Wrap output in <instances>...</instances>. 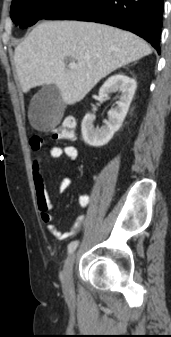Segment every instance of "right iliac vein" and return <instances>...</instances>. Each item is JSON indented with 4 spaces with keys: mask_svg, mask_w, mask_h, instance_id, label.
I'll return each instance as SVG.
<instances>
[{
    "mask_svg": "<svg viewBox=\"0 0 171 337\" xmlns=\"http://www.w3.org/2000/svg\"><path fill=\"white\" fill-rule=\"evenodd\" d=\"M75 261V254H71L65 261L63 269V287L67 297L73 294L72 270Z\"/></svg>",
    "mask_w": 171,
    "mask_h": 337,
    "instance_id": "1",
    "label": "right iliac vein"
}]
</instances>
